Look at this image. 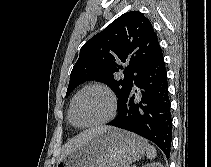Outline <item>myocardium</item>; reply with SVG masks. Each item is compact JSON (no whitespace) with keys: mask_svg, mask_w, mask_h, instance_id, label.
I'll return each mask as SVG.
<instances>
[{"mask_svg":"<svg viewBox=\"0 0 211 167\" xmlns=\"http://www.w3.org/2000/svg\"><path fill=\"white\" fill-rule=\"evenodd\" d=\"M90 89H98V90L105 92L108 95V97L110 99V105H111L110 113L108 114L107 117H105L102 120H99V121H96L93 123H89V124H79L75 121V119L73 117L74 105H75L77 99L79 98V96ZM117 106H118V104H117L116 95L108 86H106L104 84H99V83H91V84L84 86L82 89H80L75 94V96L73 97V99L70 103L68 116H69L70 122L78 128H93V127L101 126V125H104V124L110 122L116 115Z\"/></svg>","mask_w":211,"mask_h":167,"instance_id":"f54148a6","label":"myocardium"}]
</instances>
